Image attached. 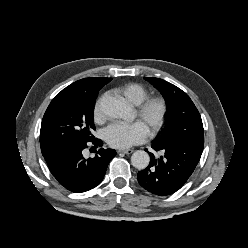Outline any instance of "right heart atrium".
Returning <instances> with one entry per match:
<instances>
[{"label": "right heart atrium", "instance_id": "1", "mask_svg": "<svg viewBox=\"0 0 248 248\" xmlns=\"http://www.w3.org/2000/svg\"><path fill=\"white\" fill-rule=\"evenodd\" d=\"M102 100H98L95 107H94V119L98 122L102 121L104 118L102 106H101Z\"/></svg>", "mask_w": 248, "mask_h": 248}]
</instances>
